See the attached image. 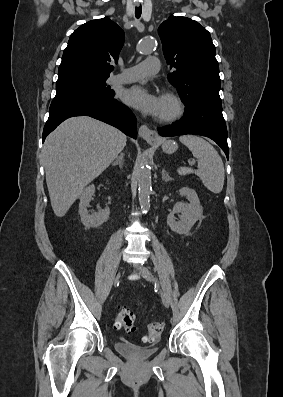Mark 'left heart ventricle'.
<instances>
[{
  "label": "left heart ventricle",
  "instance_id": "obj_1",
  "mask_svg": "<svg viewBox=\"0 0 283 397\" xmlns=\"http://www.w3.org/2000/svg\"><path fill=\"white\" fill-rule=\"evenodd\" d=\"M172 110V104L166 100V99H161V111H160V115L169 113Z\"/></svg>",
  "mask_w": 283,
  "mask_h": 397
}]
</instances>
